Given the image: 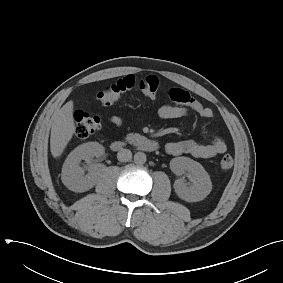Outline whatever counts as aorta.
Returning <instances> with one entry per match:
<instances>
[{
    "mask_svg": "<svg viewBox=\"0 0 283 283\" xmlns=\"http://www.w3.org/2000/svg\"><path fill=\"white\" fill-rule=\"evenodd\" d=\"M147 158H146V154L143 152H137L134 155V162L136 164H144L146 162Z\"/></svg>",
    "mask_w": 283,
    "mask_h": 283,
    "instance_id": "1",
    "label": "aorta"
}]
</instances>
